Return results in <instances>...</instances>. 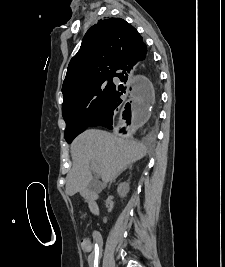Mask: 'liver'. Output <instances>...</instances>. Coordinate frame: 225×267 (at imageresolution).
I'll return each instance as SVG.
<instances>
[{"instance_id":"1","label":"liver","mask_w":225,"mask_h":267,"mask_svg":"<svg viewBox=\"0 0 225 267\" xmlns=\"http://www.w3.org/2000/svg\"><path fill=\"white\" fill-rule=\"evenodd\" d=\"M146 153V147L133 139L103 130H86L71 144L73 166L67 175L66 193L73 196L88 188L93 179L92 162L98 167L96 173L107 183Z\"/></svg>"}]
</instances>
